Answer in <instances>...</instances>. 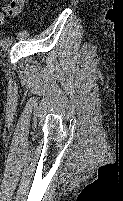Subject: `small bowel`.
I'll return each instance as SVG.
<instances>
[{"instance_id": "1", "label": "small bowel", "mask_w": 123, "mask_h": 201, "mask_svg": "<svg viewBox=\"0 0 123 201\" xmlns=\"http://www.w3.org/2000/svg\"><path fill=\"white\" fill-rule=\"evenodd\" d=\"M28 0H0V24L19 15Z\"/></svg>"}]
</instances>
